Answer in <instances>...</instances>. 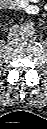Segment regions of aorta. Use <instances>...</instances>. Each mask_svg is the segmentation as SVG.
<instances>
[{
  "instance_id": "1",
  "label": "aorta",
  "mask_w": 47,
  "mask_h": 129,
  "mask_svg": "<svg viewBox=\"0 0 47 129\" xmlns=\"http://www.w3.org/2000/svg\"><path fill=\"white\" fill-rule=\"evenodd\" d=\"M21 33L26 36H31L33 34V29L31 26L26 25L22 27Z\"/></svg>"
}]
</instances>
